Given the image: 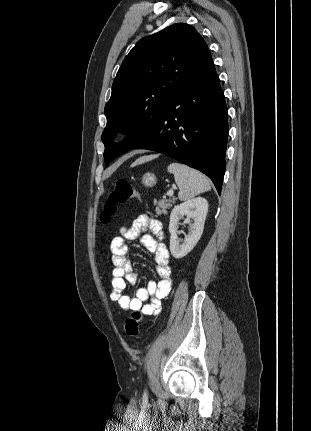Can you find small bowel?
Returning <instances> with one entry per match:
<instances>
[{
	"label": "small bowel",
	"instance_id": "small-bowel-1",
	"mask_svg": "<svg viewBox=\"0 0 311 431\" xmlns=\"http://www.w3.org/2000/svg\"><path fill=\"white\" fill-rule=\"evenodd\" d=\"M163 237L162 223L159 220L140 215L130 227H122L120 235L111 241L110 250L114 268L110 298L123 310L141 311L144 315H157L161 311V300L171 289L169 251L163 242ZM137 238H140L141 244L154 255L159 281H150L147 287L139 288L136 295L130 297L124 294L126 283H136L137 273L127 258L128 242ZM149 298L151 301L144 304Z\"/></svg>",
	"mask_w": 311,
	"mask_h": 431
}]
</instances>
